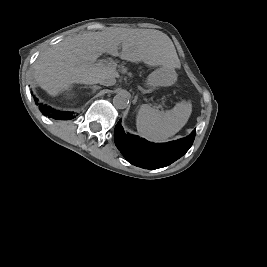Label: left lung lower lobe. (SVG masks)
Returning <instances> with one entry per match:
<instances>
[{
	"label": "left lung lower lobe",
	"mask_w": 267,
	"mask_h": 267,
	"mask_svg": "<svg viewBox=\"0 0 267 267\" xmlns=\"http://www.w3.org/2000/svg\"><path fill=\"white\" fill-rule=\"evenodd\" d=\"M195 134L196 130L188 137L175 142L155 144L126 134L118 122L114 130V139L117 148L128 162L142 168L158 169L183 156L191 147Z\"/></svg>",
	"instance_id": "0a47b994"
}]
</instances>
